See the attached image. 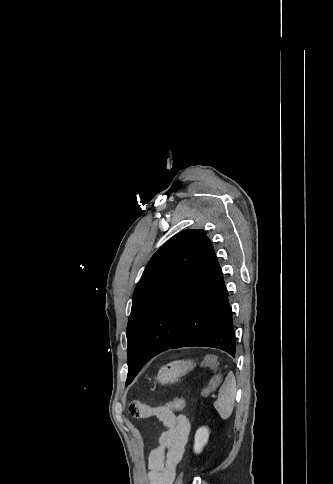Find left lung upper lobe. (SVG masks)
I'll use <instances>...</instances> for the list:
<instances>
[{
    "label": "left lung upper lobe",
    "mask_w": 333,
    "mask_h": 484,
    "mask_svg": "<svg viewBox=\"0 0 333 484\" xmlns=\"http://www.w3.org/2000/svg\"><path fill=\"white\" fill-rule=\"evenodd\" d=\"M204 240H207V236L203 230L182 231L160 247L148 262L133 294L132 310L126 330V384L131 383L143 367L140 363L138 366L133 363V356L155 309ZM172 299L168 298V301Z\"/></svg>",
    "instance_id": "left-lung-upper-lobe-1"
}]
</instances>
